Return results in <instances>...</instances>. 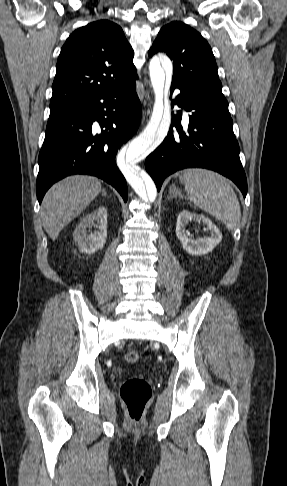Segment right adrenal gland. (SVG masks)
I'll return each instance as SVG.
<instances>
[{
  "instance_id": "right-adrenal-gland-1",
  "label": "right adrenal gland",
  "mask_w": 287,
  "mask_h": 486,
  "mask_svg": "<svg viewBox=\"0 0 287 486\" xmlns=\"http://www.w3.org/2000/svg\"><path fill=\"white\" fill-rule=\"evenodd\" d=\"M102 195H103V196H106V195H107V194H106V191H105L104 189L102 190Z\"/></svg>"
}]
</instances>
